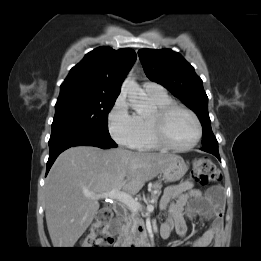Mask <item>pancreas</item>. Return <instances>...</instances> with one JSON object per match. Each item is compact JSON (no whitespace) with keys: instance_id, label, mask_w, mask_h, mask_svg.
<instances>
[{"instance_id":"pancreas-1","label":"pancreas","mask_w":261,"mask_h":261,"mask_svg":"<svg viewBox=\"0 0 261 261\" xmlns=\"http://www.w3.org/2000/svg\"><path fill=\"white\" fill-rule=\"evenodd\" d=\"M161 188L162 185L160 183H153L151 185V197L148 198V200H153V205H156L157 200L161 194ZM124 222L125 224L122 226L120 237L126 238V239H133L135 238L138 226L141 225L144 228V222L139 217L138 212L130 210V213L125 212L124 215ZM143 235L146 234V231L144 230Z\"/></svg>"}]
</instances>
